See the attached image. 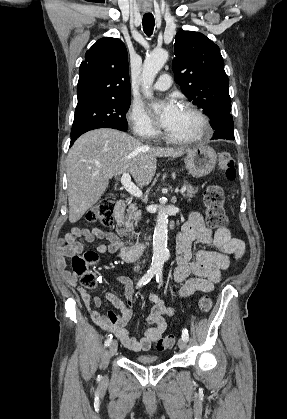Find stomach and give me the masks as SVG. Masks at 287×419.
I'll return each instance as SVG.
<instances>
[{
  "mask_svg": "<svg viewBox=\"0 0 287 419\" xmlns=\"http://www.w3.org/2000/svg\"><path fill=\"white\" fill-rule=\"evenodd\" d=\"M217 162V154L210 146H197L187 152L184 163L195 177H204L211 173Z\"/></svg>",
  "mask_w": 287,
  "mask_h": 419,
  "instance_id": "obj_1",
  "label": "stomach"
}]
</instances>
